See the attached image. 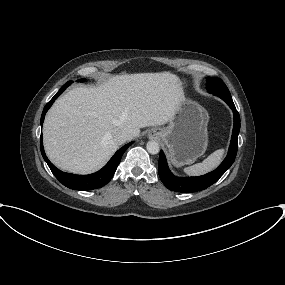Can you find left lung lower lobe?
<instances>
[{
  "label": "left lung lower lobe",
  "mask_w": 285,
  "mask_h": 285,
  "mask_svg": "<svg viewBox=\"0 0 285 285\" xmlns=\"http://www.w3.org/2000/svg\"><path fill=\"white\" fill-rule=\"evenodd\" d=\"M225 102L231 107L234 113V127L229 147L228 154L220 166L214 171L198 177H186L180 178L174 176L167 165L165 155L160 151L158 172L163 184L172 191L177 192H196L204 190L214 184L233 164L238 148V134L240 131V116L237 112L233 100H225Z\"/></svg>",
  "instance_id": "0a47b994"
}]
</instances>
